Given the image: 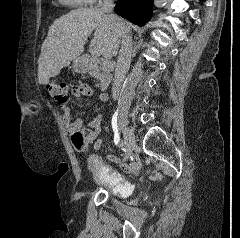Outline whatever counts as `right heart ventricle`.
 I'll use <instances>...</instances> for the list:
<instances>
[{"label":"right heart ventricle","mask_w":240,"mask_h":238,"mask_svg":"<svg viewBox=\"0 0 240 238\" xmlns=\"http://www.w3.org/2000/svg\"><path fill=\"white\" fill-rule=\"evenodd\" d=\"M61 4L71 8H81L90 4L89 0H58Z\"/></svg>","instance_id":"right-heart-ventricle-1"}]
</instances>
